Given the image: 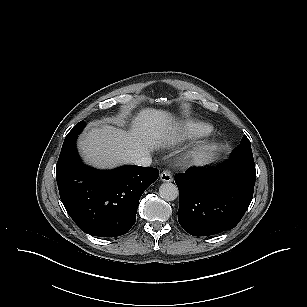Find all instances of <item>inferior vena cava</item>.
Returning <instances> with one entry per match:
<instances>
[{"label": "inferior vena cava", "mask_w": 307, "mask_h": 307, "mask_svg": "<svg viewBox=\"0 0 307 307\" xmlns=\"http://www.w3.org/2000/svg\"><path fill=\"white\" fill-rule=\"evenodd\" d=\"M132 163L138 166H150L152 164V158L150 156H143L134 159Z\"/></svg>", "instance_id": "602c4592"}]
</instances>
